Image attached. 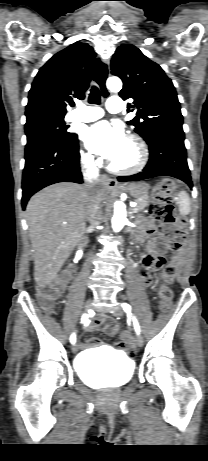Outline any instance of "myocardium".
I'll list each match as a JSON object with an SVG mask.
<instances>
[{
    "instance_id": "f54148a6",
    "label": "myocardium",
    "mask_w": 208,
    "mask_h": 461,
    "mask_svg": "<svg viewBox=\"0 0 208 461\" xmlns=\"http://www.w3.org/2000/svg\"><path fill=\"white\" fill-rule=\"evenodd\" d=\"M127 141H129L136 149L137 161L130 167H119L116 166L112 161L109 162V170L115 174L130 175L138 173L146 166L148 162V148L142 138L136 134H130L127 137Z\"/></svg>"
}]
</instances>
